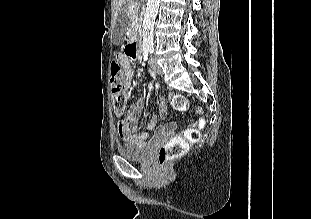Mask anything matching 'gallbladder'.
Instances as JSON below:
<instances>
[{
  "label": "gallbladder",
  "mask_w": 311,
  "mask_h": 219,
  "mask_svg": "<svg viewBox=\"0 0 311 219\" xmlns=\"http://www.w3.org/2000/svg\"><path fill=\"white\" fill-rule=\"evenodd\" d=\"M127 19L125 14H120L112 30V39L115 44H120L125 39Z\"/></svg>",
  "instance_id": "1"
}]
</instances>
